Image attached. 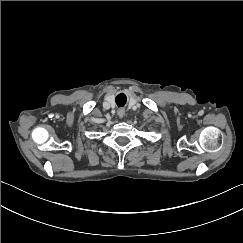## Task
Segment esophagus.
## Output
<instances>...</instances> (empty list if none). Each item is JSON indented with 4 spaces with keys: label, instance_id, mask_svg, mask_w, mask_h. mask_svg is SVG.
Wrapping results in <instances>:
<instances>
[{
    "label": "esophagus",
    "instance_id": "34e87169",
    "mask_svg": "<svg viewBox=\"0 0 243 243\" xmlns=\"http://www.w3.org/2000/svg\"><path fill=\"white\" fill-rule=\"evenodd\" d=\"M124 114H125V110L124 109H119L117 111V115H118L119 118H123Z\"/></svg>",
    "mask_w": 243,
    "mask_h": 243
}]
</instances>
